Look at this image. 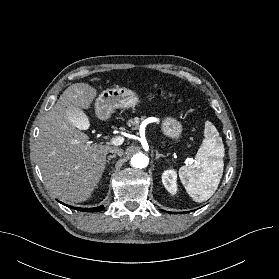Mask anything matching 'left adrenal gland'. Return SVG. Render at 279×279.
<instances>
[{
  "label": "left adrenal gland",
  "mask_w": 279,
  "mask_h": 279,
  "mask_svg": "<svg viewBox=\"0 0 279 279\" xmlns=\"http://www.w3.org/2000/svg\"><path fill=\"white\" fill-rule=\"evenodd\" d=\"M160 157L165 158L164 155L160 154L158 151H156V157L155 159L158 160Z\"/></svg>",
  "instance_id": "obj_1"
}]
</instances>
